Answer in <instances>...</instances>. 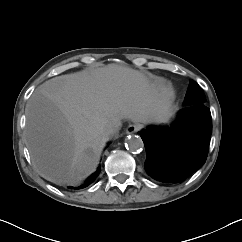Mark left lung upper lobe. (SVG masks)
I'll use <instances>...</instances> for the list:
<instances>
[{"label": "left lung upper lobe", "mask_w": 242, "mask_h": 242, "mask_svg": "<svg viewBox=\"0 0 242 242\" xmlns=\"http://www.w3.org/2000/svg\"><path fill=\"white\" fill-rule=\"evenodd\" d=\"M206 97L202 88L193 80H190L188 90L185 96V104L191 106L196 104H205Z\"/></svg>", "instance_id": "5c2ea615"}]
</instances>
